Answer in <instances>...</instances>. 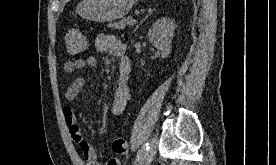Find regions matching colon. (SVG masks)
I'll list each match as a JSON object with an SVG mask.
<instances>
[{
	"mask_svg": "<svg viewBox=\"0 0 276 165\" xmlns=\"http://www.w3.org/2000/svg\"><path fill=\"white\" fill-rule=\"evenodd\" d=\"M65 46L68 54L78 55L86 49L87 42L80 30L69 28L65 32ZM128 150V142L123 137H117L112 142V151L117 155H123Z\"/></svg>",
	"mask_w": 276,
	"mask_h": 165,
	"instance_id": "1",
	"label": "colon"
}]
</instances>
